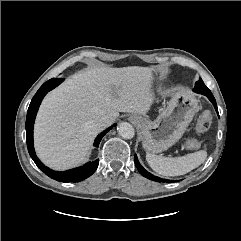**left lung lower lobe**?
Returning <instances> with one entry per match:
<instances>
[{
    "label": "left lung lower lobe",
    "instance_id": "0a47b994",
    "mask_svg": "<svg viewBox=\"0 0 241 241\" xmlns=\"http://www.w3.org/2000/svg\"><path fill=\"white\" fill-rule=\"evenodd\" d=\"M194 92L196 93H200L203 94L205 96L208 97V99L212 102V104L215 107L216 112L218 113V109H217V105H216V100L213 97L211 91L205 86V84H203L200 80L198 82H196L195 84V88L193 89ZM135 165L138 168L139 172L141 175H143L144 177L156 181V182H173V180H167V179H161L159 177H156L154 175H152L151 173H149L148 171H146L139 163L137 156L135 155ZM177 181V180H176Z\"/></svg>",
    "mask_w": 241,
    "mask_h": 241
}]
</instances>
